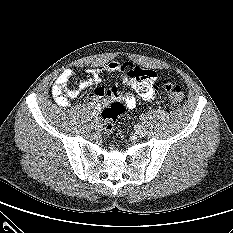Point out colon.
<instances>
[{"label":"colon","instance_id":"colon-1","mask_svg":"<svg viewBox=\"0 0 233 233\" xmlns=\"http://www.w3.org/2000/svg\"><path fill=\"white\" fill-rule=\"evenodd\" d=\"M128 77L135 83H140L150 81L152 74L149 70L134 66L129 70ZM163 86L168 95L171 107H180L184 99L183 89L167 79L163 80ZM126 109L127 106L122 99H114L106 108L103 109L101 115L105 122L106 132H110L112 130L116 119L122 115Z\"/></svg>","mask_w":233,"mask_h":233}]
</instances>
